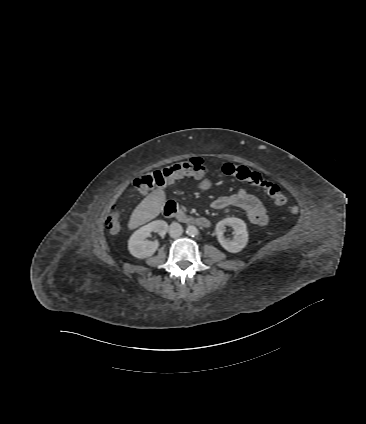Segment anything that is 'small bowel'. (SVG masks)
I'll list each match as a JSON object with an SVG mask.
<instances>
[{
	"instance_id": "1",
	"label": "small bowel",
	"mask_w": 366,
	"mask_h": 424,
	"mask_svg": "<svg viewBox=\"0 0 366 424\" xmlns=\"http://www.w3.org/2000/svg\"><path fill=\"white\" fill-rule=\"evenodd\" d=\"M212 207L218 210L227 207L240 208L246 213L248 219L258 226H265L269 219L267 207L246 188H241L231 195L218 197L212 203Z\"/></svg>"
}]
</instances>
